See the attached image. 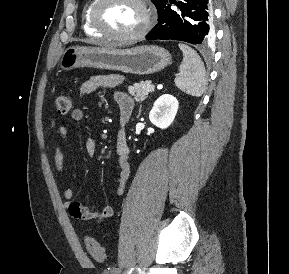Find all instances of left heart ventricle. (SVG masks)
<instances>
[{
  "mask_svg": "<svg viewBox=\"0 0 289 274\" xmlns=\"http://www.w3.org/2000/svg\"><path fill=\"white\" fill-rule=\"evenodd\" d=\"M100 20L112 32L130 34L140 29L144 14L133 0H112L101 9Z\"/></svg>",
  "mask_w": 289,
  "mask_h": 274,
  "instance_id": "b2bd125f",
  "label": "left heart ventricle"
}]
</instances>
